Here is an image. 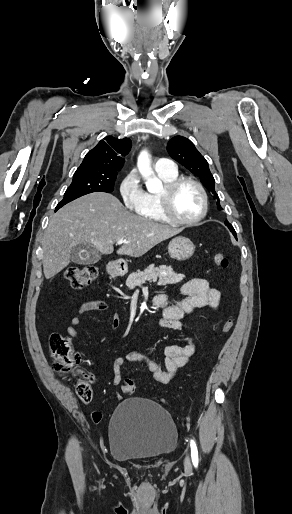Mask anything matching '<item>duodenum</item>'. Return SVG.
Wrapping results in <instances>:
<instances>
[{"mask_svg":"<svg viewBox=\"0 0 292 514\" xmlns=\"http://www.w3.org/2000/svg\"><path fill=\"white\" fill-rule=\"evenodd\" d=\"M120 274H122V272ZM154 304L161 308H167L169 306L168 299L164 295H157L154 298Z\"/></svg>","mask_w":292,"mask_h":514,"instance_id":"obj_1","label":"duodenum"}]
</instances>
